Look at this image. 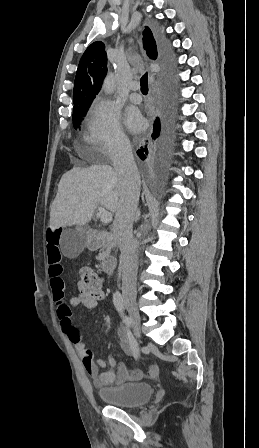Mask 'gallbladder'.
Listing matches in <instances>:
<instances>
[{"label":"gallbladder","instance_id":"obj_1","mask_svg":"<svg viewBox=\"0 0 259 448\" xmlns=\"http://www.w3.org/2000/svg\"><path fill=\"white\" fill-rule=\"evenodd\" d=\"M87 242V236L77 234L73 230H64L60 240V248L66 258H77L86 248Z\"/></svg>","mask_w":259,"mask_h":448}]
</instances>
